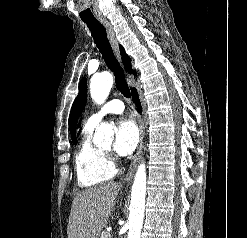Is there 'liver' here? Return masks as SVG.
<instances>
[{"label": "liver", "mask_w": 247, "mask_h": 238, "mask_svg": "<svg viewBox=\"0 0 247 238\" xmlns=\"http://www.w3.org/2000/svg\"><path fill=\"white\" fill-rule=\"evenodd\" d=\"M119 191L118 183L109 182L78 193L72 202L68 238H99Z\"/></svg>", "instance_id": "liver-1"}]
</instances>
